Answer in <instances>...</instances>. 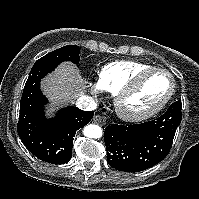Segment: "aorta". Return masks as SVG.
<instances>
[{"label":"aorta","instance_id":"obj_1","mask_svg":"<svg viewBox=\"0 0 199 199\" xmlns=\"http://www.w3.org/2000/svg\"><path fill=\"white\" fill-rule=\"evenodd\" d=\"M83 134L88 138H100L102 136V129L95 124H89L84 127Z\"/></svg>","mask_w":199,"mask_h":199}]
</instances>
